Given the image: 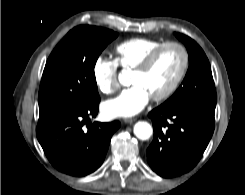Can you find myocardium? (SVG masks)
Wrapping results in <instances>:
<instances>
[{"label": "myocardium", "mask_w": 245, "mask_h": 195, "mask_svg": "<svg viewBox=\"0 0 245 195\" xmlns=\"http://www.w3.org/2000/svg\"><path fill=\"white\" fill-rule=\"evenodd\" d=\"M168 47H176L181 51L182 54V64L180 71L175 78V80L172 82V84L162 93L152 96L151 99L153 101L159 102L168 99L171 95L174 94V92L178 89L181 82L183 81L188 64H189V55L187 49L184 47V45L178 43V42H165L153 49L134 69L133 72L137 73H143L149 69V67L152 65L156 57L159 55L161 51Z\"/></svg>", "instance_id": "1"}]
</instances>
